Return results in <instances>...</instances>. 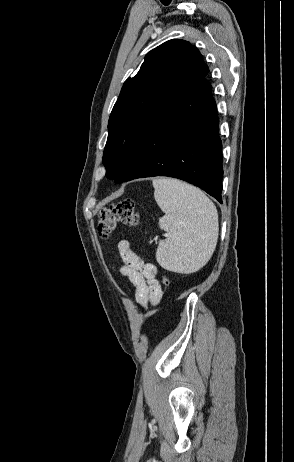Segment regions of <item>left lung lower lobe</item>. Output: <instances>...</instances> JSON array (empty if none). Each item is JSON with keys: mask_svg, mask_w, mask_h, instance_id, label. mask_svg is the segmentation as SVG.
<instances>
[{"mask_svg": "<svg viewBox=\"0 0 294 462\" xmlns=\"http://www.w3.org/2000/svg\"><path fill=\"white\" fill-rule=\"evenodd\" d=\"M212 86L190 82L158 109L124 159L116 183L169 176L194 184L222 203V144Z\"/></svg>", "mask_w": 294, "mask_h": 462, "instance_id": "left-lung-lower-lobe-1", "label": "left lung lower lobe"}]
</instances>
